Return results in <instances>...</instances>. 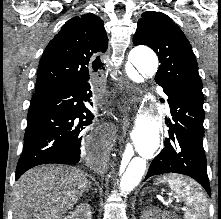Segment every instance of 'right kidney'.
I'll use <instances>...</instances> for the list:
<instances>
[{
	"label": "right kidney",
	"mask_w": 221,
	"mask_h": 219,
	"mask_svg": "<svg viewBox=\"0 0 221 219\" xmlns=\"http://www.w3.org/2000/svg\"><path fill=\"white\" fill-rule=\"evenodd\" d=\"M91 214V207L83 203L77 206V208L70 212L64 219H92Z\"/></svg>",
	"instance_id": "obj_1"
}]
</instances>
